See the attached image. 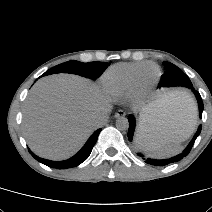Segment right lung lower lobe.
Wrapping results in <instances>:
<instances>
[{"instance_id": "98d812e1", "label": "right lung lower lobe", "mask_w": 212, "mask_h": 212, "mask_svg": "<svg viewBox=\"0 0 212 212\" xmlns=\"http://www.w3.org/2000/svg\"><path fill=\"white\" fill-rule=\"evenodd\" d=\"M48 75L47 72H45L42 76ZM101 129L96 130L91 137L88 139V141L86 142V144L82 147V149L75 154L73 157H71L68 160H64V161H51V160H46L43 158H40L38 156H36L34 153H32L30 150L29 152L31 153V155L39 162H41L44 165H47L49 167L52 168H56V169H67V168H72V167H76L79 164H81L82 162H84L90 155L93 146L95 145L96 141H97V137L100 133Z\"/></svg>"}]
</instances>
